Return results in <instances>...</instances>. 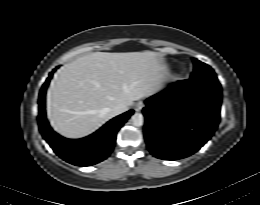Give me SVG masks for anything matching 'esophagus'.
Instances as JSON below:
<instances>
[{
	"label": "esophagus",
	"instance_id": "34e87169",
	"mask_svg": "<svg viewBox=\"0 0 260 205\" xmlns=\"http://www.w3.org/2000/svg\"><path fill=\"white\" fill-rule=\"evenodd\" d=\"M143 107H144V102L139 101V102H137V103L135 104V107H134V108H135L136 111H141Z\"/></svg>",
	"mask_w": 260,
	"mask_h": 205
}]
</instances>
